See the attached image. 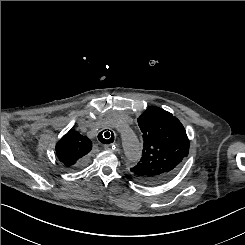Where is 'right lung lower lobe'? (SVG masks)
I'll return each mask as SVG.
<instances>
[{"mask_svg":"<svg viewBox=\"0 0 245 245\" xmlns=\"http://www.w3.org/2000/svg\"><path fill=\"white\" fill-rule=\"evenodd\" d=\"M83 163H84V162L82 161V162H81V163H80V164H79V165H78L77 167H80V166H82V165H83Z\"/></svg>","mask_w":245,"mask_h":245,"instance_id":"98d812e1","label":"right lung lower lobe"}]
</instances>
